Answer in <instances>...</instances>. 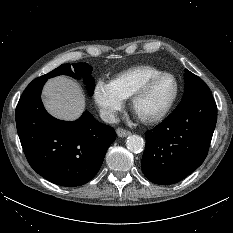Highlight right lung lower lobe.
Masks as SVG:
<instances>
[{"instance_id": "obj_1", "label": "right lung lower lobe", "mask_w": 233, "mask_h": 233, "mask_svg": "<svg viewBox=\"0 0 233 233\" xmlns=\"http://www.w3.org/2000/svg\"><path fill=\"white\" fill-rule=\"evenodd\" d=\"M46 80L34 79L16 107L23 151L31 167L50 182L66 187L83 185L100 169L116 133L88 111L71 122L49 115L40 98Z\"/></svg>"}]
</instances>
